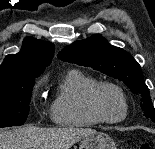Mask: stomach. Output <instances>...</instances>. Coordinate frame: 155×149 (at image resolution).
I'll return each mask as SVG.
<instances>
[{
	"label": "stomach",
	"mask_w": 155,
	"mask_h": 149,
	"mask_svg": "<svg viewBox=\"0 0 155 149\" xmlns=\"http://www.w3.org/2000/svg\"><path fill=\"white\" fill-rule=\"evenodd\" d=\"M79 149H116V143L109 135L94 132L81 140Z\"/></svg>",
	"instance_id": "1"
}]
</instances>
